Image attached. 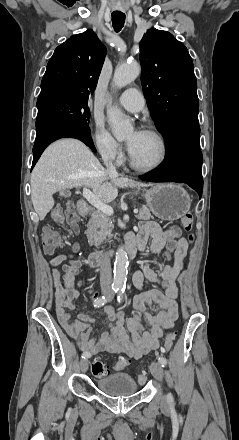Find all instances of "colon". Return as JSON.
Returning a JSON list of instances; mask_svg holds the SVG:
<instances>
[{
    "label": "colon",
    "instance_id": "1",
    "mask_svg": "<svg viewBox=\"0 0 239 440\" xmlns=\"http://www.w3.org/2000/svg\"><path fill=\"white\" fill-rule=\"evenodd\" d=\"M53 217L57 222L59 223L66 222L72 225L74 228H76L78 225V215L74 209L73 204L71 203H67L65 206L57 207L56 210L54 211ZM180 223L184 230L190 231L192 229L193 218L190 214H185L184 216H182ZM172 231L174 232V238H175L179 229L173 228ZM174 238L170 240L169 246H172L174 244L175 242ZM190 239H192V236H190ZM42 241H43L44 251L47 254L53 253L55 249L60 246V237L58 233L51 229L45 230ZM79 267H80L79 261L74 260L65 266V270L68 273V275L74 277L77 274ZM174 339H175V332L173 331L168 332L165 337L164 346L160 349L159 352L160 355L167 353L171 349ZM126 365H127L126 360L121 359L116 363L114 369L116 371H121L126 367ZM91 371L94 376L102 377L109 374L110 369L101 360L96 359L92 363ZM145 379H146L145 373H141L139 375V381L144 382Z\"/></svg>",
    "mask_w": 239,
    "mask_h": 440
}]
</instances>
